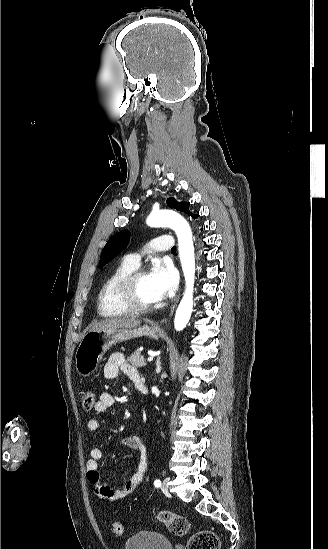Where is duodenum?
<instances>
[{"mask_svg": "<svg viewBox=\"0 0 328 549\" xmlns=\"http://www.w3.org/2000/svg\"><path fill=\"white\" fill-rule=\"evenodd\" d=\"M133 382L136 386V388L143 394H147L148 393V388L146 386V384L143 382V380L141 379L140 376H137L133 379Z\"/></svg>", "mask_w": 328, "mask_h": 549, "instance_id": "410a0bca", "label": "duodenum"}]
</instances>
